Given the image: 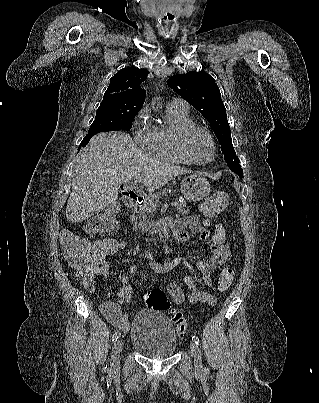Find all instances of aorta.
Wrapping results in <instances>:
<instances>
[{"label":"aorta","instance_id":"762f6f07","mask_svg":"<svg viewBox=\"0 0 319 403\" xmlns=\"http://www.w3.org/2000/svg\"><path fill=\"white\" fill-rule=\"evenodd\" d=\"M165 238H168V234L165 235Z\"/></svg>","mask_w":319,"mask_h":403}]
</instances>
